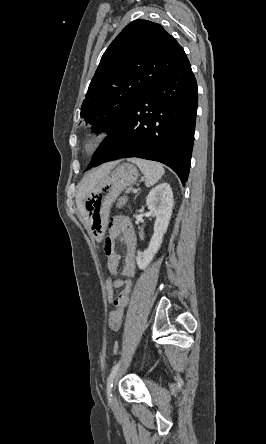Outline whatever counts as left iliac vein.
Here are the masks:
<instances>
[{
  "mask_svg": "<svg viewBox=\"0 0 266 444\" xmlns=\"http://www.w3.org/2000/svg\"><path fill=\"white\" fill-rule=\"evenodd\" d=\"M110 401H111V406L116 408L117 407V401H116V397H115L114 393L111 395Z\"/></svg>",
  "mask_w": 266,
  "mask_h": 444,
  "instance_id": "obj_1",
  "label": "left iliac vein"
}]
</instances>
